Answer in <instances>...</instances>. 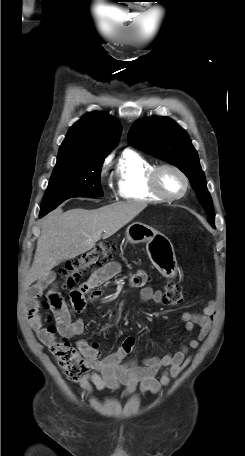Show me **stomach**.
Wrapping results in <instances>:
<instances>
[{
	"label": "stomach",
	"mask_w": 245,
	"mask_h": 456,
	"mask_svg": "<svg viewBox=\"0 0 245 456\" xmlns=\"http://www.w3.org/2000/svg\"><path fill=\"white\" fill-rule=\"evenodd\" d=\"M127 241L131 244L146 243L153 265L166 277L176 273V257L169 239L152 227L134 222L126 229Z\"/></svg>",
	"instance_id": "obj_1"
}]
</instances>
